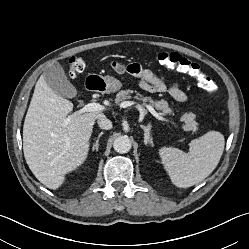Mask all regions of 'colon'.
Wrapping results in <instances>:
<instances>
[{
    "instance_id": "5ec220e1",
    "label": "colon",
    "mask_w": 249,
    "mask_h": 249,
    "mask_svg": "<svg viewBox=\"0 0 249 249\" xmlns=\"http://www.w3.org/2000/svg\"><path fill=\"white\" fill-rule=\"evenodd\" d=\"M157 61L162 66L176 69L181 73L195 78L199 86L207 92H211L215 89L213 79L205 74L198 64L191 62L178 53L166 51L160 52L157 54ZM112 66L115 71H122L126 68L125 64L119 62H113ZM85 67V61L81 57L73 56L69 59V71L71 76L75 77L82 73Z\"/></svg>"
}]
</instances>
